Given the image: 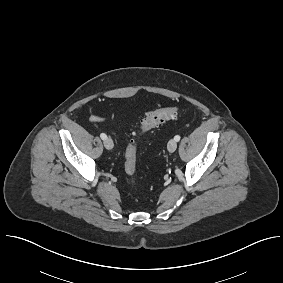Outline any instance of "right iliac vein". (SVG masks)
Masks as SVG:
<instances>
[{
	"mask_svg": "<svg viewBox=\"0 0 283 283\" xmlns=\"http://www.w3.org/2000/svg\"><path fill=\"white\" fill-rule=\"evenodd\" d=\"M104 146L106 149L111 150L114 147V143L111 138H106L104 140Z\"/></svg>",
	"mask_w": 283,
	"mask_h": 283,
	"instance_id": "obj_1",
	"label": "right iliac vein"
}]
</instances>
